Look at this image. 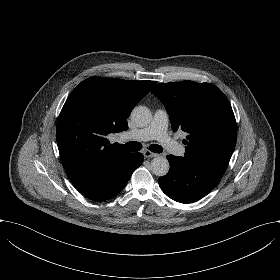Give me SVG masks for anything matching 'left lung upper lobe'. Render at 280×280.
I'll list each match as a JSON object with an SVG mask.
<instances>
[{"mask_svg":"<svg viewBox=\"0 0 280 280\" xmlns=\"http://www.w3.org/2000/svg\"><path fill=\"white\" fill-rule=\"evenodd\" d=\"M151 92L165 105L173 131L188 133L184 157L227 168L237 125L223 92L213 84L193 81L160 83Z\"/></svg>","mask_w":280,"mask_h":280,"instance_id":"5c2ea615","label":"left lung upper lobe"}]
</instances>
